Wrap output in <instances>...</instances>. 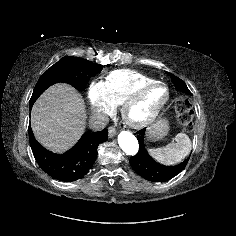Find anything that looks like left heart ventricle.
<instances>
[{
	"label": "left heart ventricle",
	"mask_w": 236,
	"mask_h": 236,
	"mask_svg": "<svg viewBox=\"0 0 236 236\" xmlns=\"http://www.w3.org/2000/svg\"><path fill=\"white\" fill-rule=\"evenodd\" d=\"M165 90L162 87H156L148 92L144 98L131 110V116L136 119L146 117L153 107L163 99Z\"/></svg>",
	"instance_id": "b2bd125f"
}]
</instances>
